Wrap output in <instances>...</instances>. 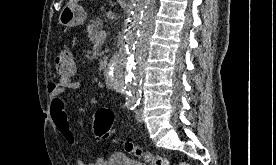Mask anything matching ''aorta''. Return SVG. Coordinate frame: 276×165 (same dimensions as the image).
<instances>
[{
	"mask_svg": "<svg viewBox=\"0 0 276 165\" xmlns=\"http://www.w3.org/2000/svg\"><path fill=\"white\" fill-rule=\"evenodd\" d=\"M155 0H135L118 53L108 65L109 83L138 101L149 37L154 30Z\"/></svg>",
	"mask_w": 276,
	"mask_h": 165,
	"instance_id": "762f6f07",
	"label": "aorta"
}]
</instances>
